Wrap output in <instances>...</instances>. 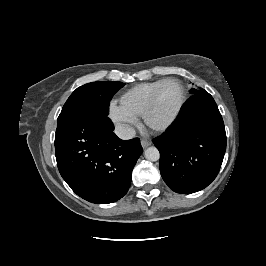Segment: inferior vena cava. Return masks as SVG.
Masks as SVG:
<instances>
[{
	"label": "inferior vena cava",
	"mask_w": 266,
	"mask_h": 266,
	"mask_svg": "<svg viewBox=\"0 0 266 266\" xmlns=\"http://www.w3.org/2000/svg\"><path fill=\"white\" fill-rule=\"evenodd\" d=\"M114 132L122 140L132 139L136 134L135 130L132 127L122 124L117 125Z\"/></svg>",
	"instance_id": "1"
}]
</instances>
